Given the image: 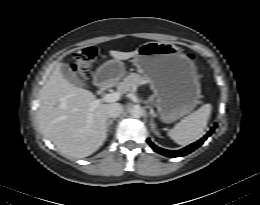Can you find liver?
<instances>
[{"label":"liver","mask_w":260,"mask_h":205,"mask_svg":"<svg viewBox=\"0 0 260 205\" xmlns=\"http://www.w3.org/2000/svg\"><path fill=\"white\" fill-rule=\"evenodd\" d=\"M138 51L109 54L117 60H128ZM58 63L40 91L39 123L43 135L60 153L83 158L96 152L107 138V107L91 108L95 95L68 82Z\"/></svg>","instance_id":"6515ba94"}]
</instances>
